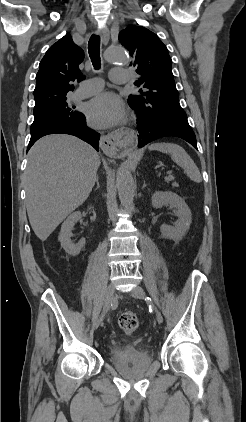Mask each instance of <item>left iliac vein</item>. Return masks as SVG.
I'll use <instances>...</instances> for the list:
<instances>
[{
  "label": "left iliac vein",
  "instance_id": "4c4485c4",
  "mask_svg": "<svg viewBox=\"0 0 246 422\" xmlns=\"http://www.w3.org/2000/svg\"><path fill=\"white\" fill-rule=\"evenodd\" d=\"M130 295L134 298H137V299H143L144 296H145V292L141 287L136 286L135 288L132 289V291L130 292ZM155 313H156L157 322L159 324H161L163 322V316H162L161 312L156 309Z\"/></svg>",
  "mask_w": 246,
  "mask_h": 422
}]
</instances>
